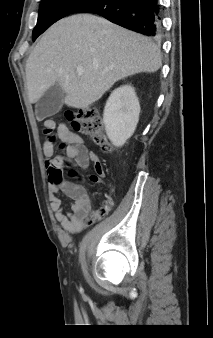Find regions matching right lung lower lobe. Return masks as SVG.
I'll use <instances>...</instances> for the list:
<instances>
[{
    "label": "right lung lower lobe",
    "instance_id": "1",
    "mask_svg": "<svg viewBox=\"0 0 213 338\" xmlns=\"http://www.w3.org/2000/svg\"><path fill=\"white\" fill-rule=\"evenodd\" d=\"M98 14L109 21L157 37L161 33V7L159 0H92L74 13Z\"/></svg>",
    "mask_w": 213,
    "mask_h": 338
}]
</instances>
